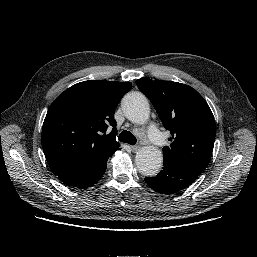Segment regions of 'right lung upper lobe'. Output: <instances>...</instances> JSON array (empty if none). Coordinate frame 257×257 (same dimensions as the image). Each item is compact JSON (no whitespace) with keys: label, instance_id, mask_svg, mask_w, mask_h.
<instances>
[{"label":"right lung upper lobe","instance_id":"right-lung-upper-lobe-1","mask_svg":"<svg viewBox=\"0 0 257 257\" xmlns=\"http://www.w3.org/2000/svg\"><path fill=\"white\" fill-rule=\"evenodd\" d=\"M131 88L128 82L84 81L51 104L41 141L51 171L63 183L80 184L118 150L115 108Z\"/></svg>","mask_w":257,"mask_h":257}]
</instances>
